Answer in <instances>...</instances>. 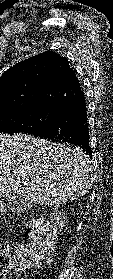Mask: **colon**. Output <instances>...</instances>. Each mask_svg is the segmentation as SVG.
I'll return each instance as SVG.
<instances>
[{
    "instance_id": "5ec220e1",
    "label": "colon",
    "mask_w": 113,
    "mask_h": 279,
    "mask_svg": "<svg viewBox=\"0 0 113 279\" xmlns=\"http://www.w3.org/2000/svg\"><path fill=\"white\" fill-rule=\"evenodd\" d=\"M28 241L20 250H11L0 242V275L2 269L10 265L22 266L30 259L40 260L53 253L52 237L42 219H34L28 224Z\"/></svg>"
}]
</instances>
